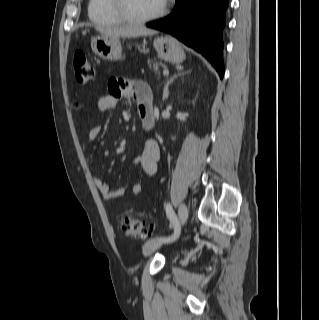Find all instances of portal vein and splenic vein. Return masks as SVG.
<instances>
[{"label":"portal vein and splenic vein","instance_id":"1","mask_svg":"<svg viewBox=\"0 0 319 320\" xmlns=\"http://www.w3.org/2000/svg\"><path fill=\"white\" fill-rule=\"evenodd\" d=\"M163 75L168 76L169 75V71L168 70H164L163 71Z\"/></svg>","mask_w":319,"mask_h":320}]
</instances>
